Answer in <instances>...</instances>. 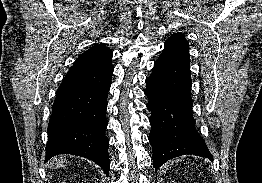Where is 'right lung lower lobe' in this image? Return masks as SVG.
<instances>
[{"label":"right lung lower lobe","instance_id":"98d812e1","mask_svg":"<svg viewBox=\"0 0 262 183\" xmlns=\"http://www.w3.org/2000/svg\"><path fill=\"white\" fill-rule=\"evenodd\" d=\"M114 66H72L56 92L48 124L45 162L72 154L97 163L109 173L107 95Z\"/></svg>","mask_w":262,"mask_h":183}]
</instances>
